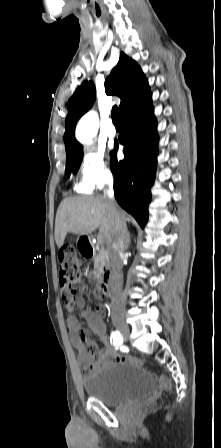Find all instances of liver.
<instances>
[{
	"instance_id": "obj_1",
	"label": "liver",
	"mask_w": 221,
	"mask_h": 448,
	"mask_svg": "<svg viewBox=\"0 0 221 448\" xmlns=\"http://www.w3.org/2000/svg\"><path fill=\"white\" fill-rule=\"evenodd\" d=\"M125 221L127 214L122 211ZM115 225V215L104 196L69 197L59 205L55 220V241L58 248L64 244L67 233L88 235L99 228L110 243Z\"/></svg>"
}]
</instances>
